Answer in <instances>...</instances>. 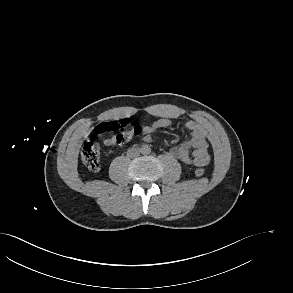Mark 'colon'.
I'll return each mask as SVG.
<instances>
[{
    "label": "colon",
    "mask_w": 293,
    "mask_h": 293,
    "mask_svg": "<svg viewBox=\"0 0 293 293\" xmlns=\"http://www.w3.org/2000/svg\"><path fill=\"white\" fill-rule=\"evenodd\" d=\"M142 126L130 124L129 120L109 121L99 124L97 134H113L107 141L108 144L121 146L142 132ZM81 159L85 167L90 171H98L100 168V145L94 140H88L82 148ZM205 174L204 168H197L195 175L201 177Z\"/></svg>",
    "instance_id": "colon-1"
}]
</instances>
